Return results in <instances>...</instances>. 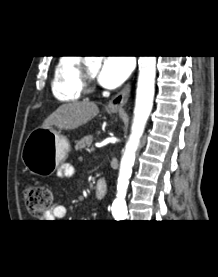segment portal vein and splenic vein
I'll return each instance as SVG.
<instances>
[{
  "instance_id": "18ae733b",
  "label": "portal vein and splenic vein",
  "mask_w": 218,
  "mask_h": 277,
  "mask_svg": "<svg viewBox=\"0 0 218 277\" xmlns=\"http://www.w3.org/2000/svg\"><path fill=\"white\" fill-rule=\"evenodd\" d=\"M89 151H90V152L95 151V147H93V146H92V147L90 148V150H89Z\"/></svg>"
}]
</instances>
